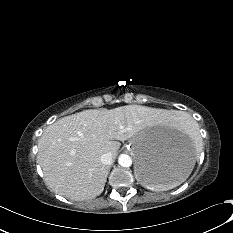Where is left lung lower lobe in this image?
<instances>
[{
	"mask_svg": "<svg viewBox=\"0 0 233 233\" xmlns=\"http://www.w3.org/2000/svg\"><path fill=\"white\" fill-rule=\"evenodd\" d=\"M141 176L145 180H148V181H151V182L157 181V180H159L161 178V176L157 172H155V171H153V170H151L149 168H146V167H144L141 170Z\"/></svg>",
	"mask_w": 233,
	"mask_h": 233,
	"instance_id": "obj_1",
	"label": "left lung lower lobe"
}]
</instances>
